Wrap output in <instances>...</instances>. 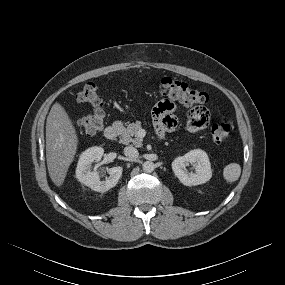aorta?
Listing matches in <instances>:
<instances>
[{
    "label": "aorta",
    "instance_id": "1",
    "mask_svg": "<svg viewBox=\"0 0 285 285\" xmlns=\"http://www.w3.org/2000/svg\"><path fill=\"white\" fill-rule=\"evenodd\" d=\"M143 171L146 173H151L155 169V165L152 161H146L142 165Z\"/></svg>",
    "mask_w": 285,
    "mask_h": 285
}]
</instances>
